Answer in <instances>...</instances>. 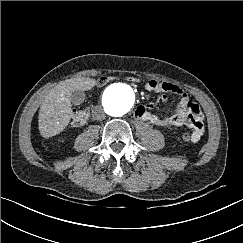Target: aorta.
I'll list each match as a JSON object with an SVG mask.
<instances>
[{"mask_svg": "<svg viewBox=\"0 0 243 243\" xmlns=\"http://www.w3.org/2000/svg\"><path fill=\"white\" fill-rule=\"evenodd\" d=\"M129 89L122 84L111 85L105 91L104 104L118 115L125 114L131 108V102L125 94Z\"/></svg>", "mask_w": 243, "mask_h": 243, "instance_id": "762f6f07", "label": "aorta"}]
</instances>
